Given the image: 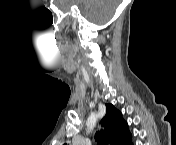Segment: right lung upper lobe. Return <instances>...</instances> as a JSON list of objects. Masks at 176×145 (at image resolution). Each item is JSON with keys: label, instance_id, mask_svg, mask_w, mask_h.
<instances>
[{"label": "right lung upper lobe", "instance_id": "1", "mask_svg": "<svg viewBox=\"0 0 176 145\" xmlns=\"http://www.w3.org/2000/svg\"><path fill=\"white\" fill-rule=\"evenodd\" d=\"M106 108V115L101 120L104 130L96 133V141L102 145H132L128 124L121 113L112 104H106Z\"/></svg>", "mask_w": 176, "mask_h": 145}]
</instances>
